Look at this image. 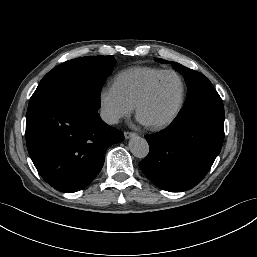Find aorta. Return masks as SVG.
Returning <instances> with one entry per match:
<instances>
[{
    "instance_id": "762f6f07",
    "label": "aorta",
    "mask_w": 257,
    "mask_h": 257,
    "mask_svg": "<svg viewBox=\"0 0 257 257\" xmlns=\"http://www.w3.org/2000/svg\"><path fill=\"white\" fill-rule=\"evenodd\" d=\"M129 149L131 153L139 158H143L149 153L148 142L139 136H134L129 142Z\"/></svg>"
}]
</instances>
